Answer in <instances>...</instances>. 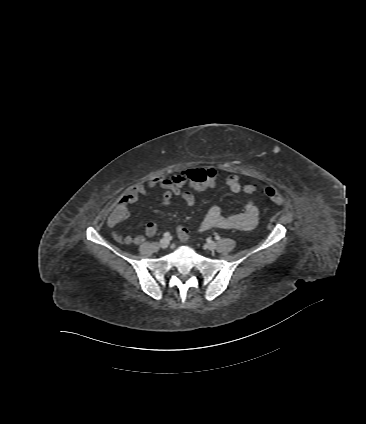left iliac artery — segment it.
I'll return each mask as SVG.
<instances>
[{
    "mask_svg": "<svg viewBox=\"0 0 366 424\" xmlns=\"http://www.w3.org/2000/svg\"><path fill=\"white\" fill-rule=\"evenodd\" d=\"M215 239H216V240H219V239H220V236H219V235H216V236H215Z\"/></svg>",
    "mask_w": 366,
    "mask_h": 424,
    "instance_id": "44dca946",
    "label": "left iliac artery"
}]
</instances>
